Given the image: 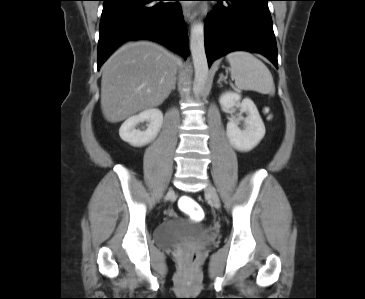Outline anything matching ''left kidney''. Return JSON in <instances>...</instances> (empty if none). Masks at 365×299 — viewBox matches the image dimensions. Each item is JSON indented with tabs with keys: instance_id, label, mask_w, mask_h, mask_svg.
Wrapping results in <instances>:
<instances>
[{
	"instance_id": "1",
	"label": "left kidney",
	"mask_w": 365,
	"mask_h": 299,
	"mask_svg": "<svg viewBox=\"0 0 365 299\" xmlns=\"http://www.w3.org/2000/svg\"><path fill=\"white\" fill-rule=\"evenodd\" d=\"M222 110L227 113L235 112L239 108L241 112L247 113L243 129L238 127L240 119L230 118L227 123V137L230 143L240 151H250L262 140L265 135V126L259 112L249 98L241 101V96L235 92L223 93L219 98Z\"/></svg>"
}]
</instances>
